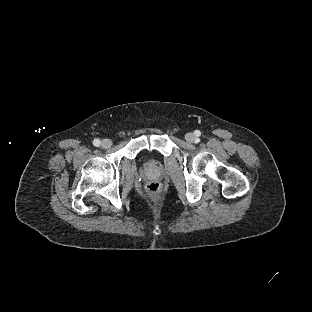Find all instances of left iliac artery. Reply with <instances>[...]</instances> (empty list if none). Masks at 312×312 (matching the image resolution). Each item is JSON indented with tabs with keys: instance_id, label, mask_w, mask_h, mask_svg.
I'll return each mask as SVG.
<instances>
[{
	"instance_id": "1",
	"label": "left iliac artery",
	"mask_w": 312,
	"mask_h": 312,
	"mask_svg": "<svg viewBox=\"0 0 312 312\" xmlns=\"http://www.w3.org/2000/svg\"><path fill=\"white\" fill-rule=\"evenodd\" d=\"M195 134H196V135H200L201 132L197 130V131H195Z\"/></svg>"
}]
</instances>
